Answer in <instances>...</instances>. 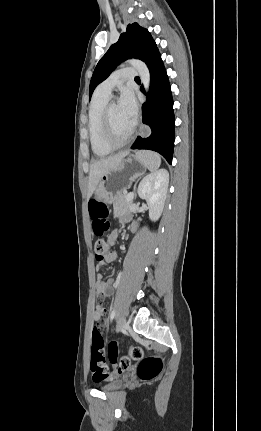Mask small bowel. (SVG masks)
I'll return each instance as SVG.
<instances>
[{
    "label": "small bowel",
    "mask_w": 261,
    "mask_h": 431,
    "mask_svg": "<svg viewBox=\"0 0 261 431\" xmlns=\"http://www.w3.org/2000/svg\"><path fill=\"white\" fill-rule=\"evenodd\" d=\"M121 220L127 221V218L122 217ZM132 229L134 231L137 230V224L136 223L132 224ZM117 238H118V233L116 231H112L108 235L107 241L109 244L113 245L116 243ZM116 258H117V256L115 253H110L102 261H99L96 265V270L98 271V274H97V281H96L97 305H96L95 311L93 313V318L95 321L101 320L102 316L105 314V312L107 310V305L104 302H106L107 297H111L114 293V279L113 278H107L104 280L101 273H99V271L106 264L114 262L116 260ZM97 329L99 331V334H102V331L104 329L103 326L100 325V326H98Z\"/></svg>",
    "instance_id": "small-bowel-1"
}]
</instances>
